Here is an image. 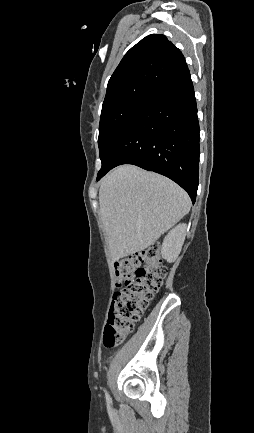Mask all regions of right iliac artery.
<instances>
[{
  "label": "right iliac artery",
  "instance_id": "obj_1",
  "mask_svg": "<svg viewBox=\"0 0 254 433\" xmlns=\"http://www.w3.org/2000/svg\"><path fill=\"white\" fill-rule=\"evenodd\" d=\"M106 400L108 404L111 403V398L107 392H106Z\"/></svg>",
  "mask_w": 254,
  "mask_h": 433
}]
</instances>
